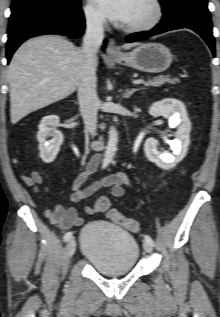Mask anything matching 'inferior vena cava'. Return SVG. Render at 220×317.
<instances>
[{"mask_svg":"<svg viewBox=\"0 0 220 317\" xmlns=\"http://www.w3.org/2000/svg\"><path fill=\"white\" fill-rule=\"evenodd\" d=\"M104 18L90 14L86 19V32L83 39V68L78 82V101L80 112L87 131L96 135L98 97L96 93V54L104 39Z\"/></svg>","mask_w":220,"mask_h":317,"instance_id":"602c4592","label":"inferior vena cava"}]
</instances>
